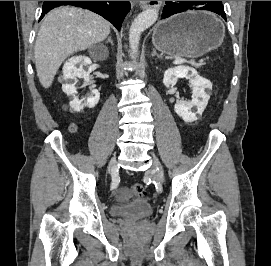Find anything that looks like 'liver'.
<instances>
[{
	"label": "liver",
	"mask_w": 271,
	"mask_h": 266,
	"mask_svg": "<svg viewBox=\"0 0 271 266\" xmlns=\"http://www.w3.org/2000/svg\"><path fill=\"white\" fill-rule=\"evenodd\" d=\"M109 33V22L91 11L69 6L52 10L39 29L34 48L41 85L49 88L69 55L102 42Z\"/></svg>",
	"instance_id": "liver-1"
}]
</instances>
